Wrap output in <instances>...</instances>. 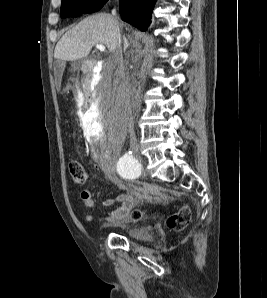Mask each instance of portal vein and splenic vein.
<instances>
[{
    "instance_id": "obj_1",
    "label": "portal vein and splenic vein",
    "mask_w": 267,
    "mask_h": 298,
    "mask_svg": "<svg viewBox=\"0 0 267 298\" xmlns=\"http://www.w3.org/2000/svg\"><path fill=\"white\" fill-rule=\"evenodd\" d=\"M96 48H97L99 51H105V46L102 45V44H97V45H96Z\"/></svg>"
}]
</instances>
